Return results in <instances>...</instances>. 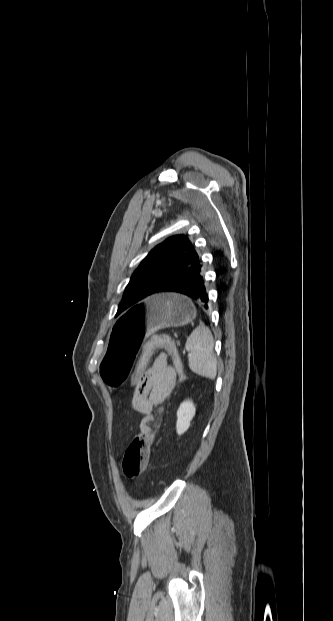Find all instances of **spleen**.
Segmentation results:
<instances>
[{
  "label": "spleen",
  "mask_w": 333,
  "mask_h": 621,
  "mask_svg": "<svg viewBox=\"0 0 333 621\" xmlns=\"http://www.w3.org/2000/svg\"><path fill=\"white\" fill-rule=\"evenodd\" d=\"M185 348L190 353L188 365L192 372L205 378H216L214 340L210 329L202 321L187 338Z\"/></svg>",
  "instance_id": "1"
}]
</instances>
